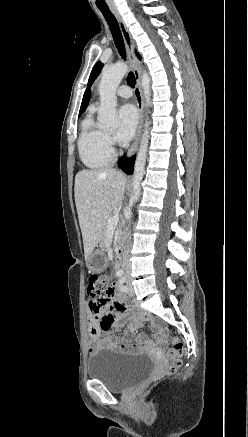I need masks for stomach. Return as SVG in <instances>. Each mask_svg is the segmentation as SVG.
<instances>
[{
  "instance_id": "stomach-1",
  "label": "stomach",
  "mask_w": 248,
  "mask_h": 437,
  "mask_svg": "<svg viewBox=\"0 0 248 437\" xmlns=\"http://www.w3.org/2000/svg\"><path fill=\"white\" fill-rule=\"evenodd\" d=\"M106 266L107 259L101 251H95L87 258V267L90 272H105Z\"/></svg>"
}]
</instances>
